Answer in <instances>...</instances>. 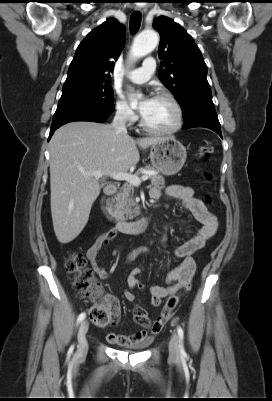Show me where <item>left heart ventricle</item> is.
Instances as JSON below:
<instances>
[{
    "mask_svg": "<svg viewBox=\"0 0 272 401\" xmlns=\"http://www.w3.org/2000/svg\"><path fill=\"white\" fill-rule=\"evenodd\" d=\"M144 122L157 129L171 127L176 120V112L170 101L153 98L146 112L142 115Z\"/></svg>",
    "mask_w": 272,
    "mask_h": 401,
    "instance_id": "b2bd125f",
    "label": "left heart ventricle"
}]
</instances>
